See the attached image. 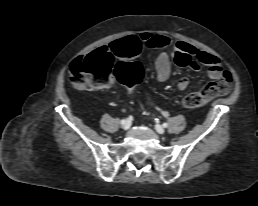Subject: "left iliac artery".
I'll list each match as a JSON object with an SVG mask.
<instances>
[{
  "instance_id": "obj_1",
  "label": "left iliac artery",
  "mask_w": 258,
  "mask_h": 206,
  "mask_svg": "<svg viewBox=\"0 0 258 206\" xmlns=\"http://www.w3.org/2000/svg\"><path fill=\"white\" fill-rule=\"evenodd\" d=\"M163 126L166 128L168 126V124L167 123H163Z\"/></svg>"
}]
</instances>
